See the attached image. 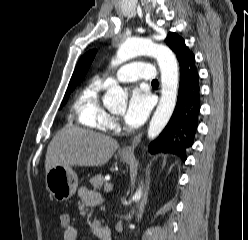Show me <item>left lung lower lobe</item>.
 Segmentation results:
<instances>
[{
	"label": "left lung lower lobe",
	"instance_id": "left-lung-lower-lobe-1",
	"mask_svg": "<svg viewBox=\"0 0 248 240\" xmlns=\"http://www.w3.org/2000/svg\"><path fill=\"white\" fill-rule=\"evenodd\" d=\"M199 111V75L192 53L180 65L179 92L174 112L163 132L149 145V152L171 153L185 161L186 149L194 142Z\"/></svg>",
	"mask_w": 248,
	"mask_h": 240
}]
</instances>
